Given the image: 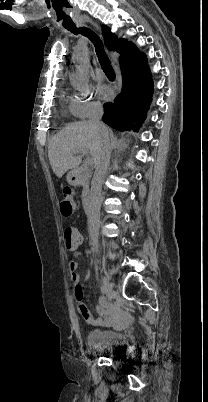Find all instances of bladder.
<instances>
[{"mask_svg":"<svg viewBox=\"0 0 208 402\" xmlns=\"http://www.w3.org/2000/svg\"><path fill=\"white\" fill-rule=\"evenodd\" d=\"M123 344V336L111 330L88 329L87 345L91 350L108 348L118 351Z\"/></svg>","mask_w":208,"mask_h":402,"instance_id":"bladder-1","label":"bladder"}]
</instances>
